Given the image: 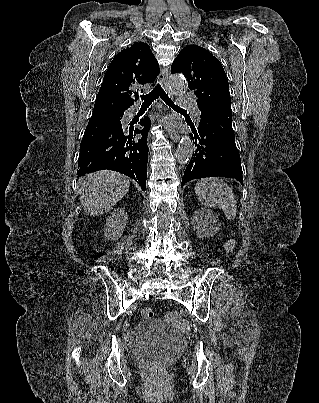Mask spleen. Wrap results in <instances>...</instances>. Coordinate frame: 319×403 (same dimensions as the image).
Masks as SVG:
<instances>
[{
    "label": "spleen",
    "instance_id": "obj_1",
    "mask_svg": "<svg viewBox=\"0 0 319 403\" xmlns=\"http://www.w3.org/2000/svg\"><path fill=\"white\" fill-rule=\"evenodd\" d=\"M198 200L205 206L218 207L223 210L228 220H234L237 201L230 186L219 178H205L195 185Z\"/></svg>",
    "mask_w": 319,
    "mask_h": 403
}]
</instances>
